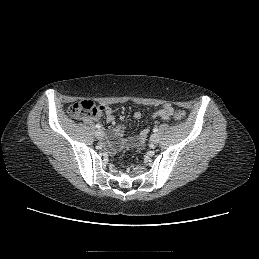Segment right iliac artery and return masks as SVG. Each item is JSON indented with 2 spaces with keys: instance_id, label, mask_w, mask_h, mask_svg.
<instances>
[{
  "instance_id": "82829eb1",
  "label": "right iliac artery",
  "mask_w": 259,
  "mask_h": 259,
  "mask_svg": "<svg viewBox=\"0 0 259 259\" xmlns=\"http://www.w3.org/2000/svg\"><path fill=\"white\" fill-rule=\"evenodd\" d=\"M100 127H101L100 124H96L97 129H100Z\"/></svg>"
}]
</instances>
